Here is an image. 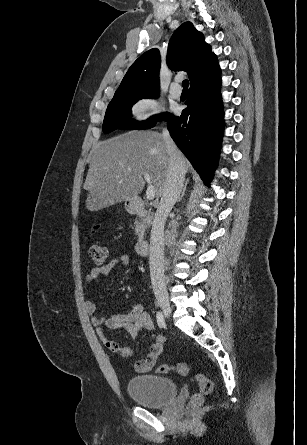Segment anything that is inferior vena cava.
Segmentation results:
<instances>
[{
	"instance_id": "1",
	"label": "inferior vena cava",
	"mask_w": 307,
	"mask_h": 445,
	"mask_svg": "<svg viewBox=\"0 0 307 445\" xmlns=\"http://www.w3.org/2000/svg\"><path fill=\"white\" fill-rule=\"evenodd\" d=\"M162 136L165 140L169 166L164 182L163 192L159 206L156 210L151 229L150 239V277L153 291L158 304L168 303V293L164 277V227L167 214L173 208L184 184L186 172L185 162L167 128H164Z\"/></svg>"
}]
</instances>
